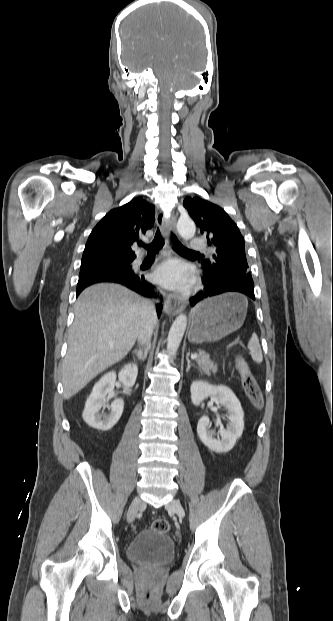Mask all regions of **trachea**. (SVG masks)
Wrapping results in <instances>:
<instances>
[{"mask_svg":"<svg viewBox=\"0 0 333 621\" xmlns=\"http://www.w3.org/2000/svg\"><path fill=\"white\" fill-rule=\"evenodd\" d=\"M163 245H164V238L162 237L160 230L158 228L156 231L154 240L152 241L151 244L146 246L148 254L158 253L160 249L163 247ZM171 245L174 248V250L180 253L200 254L199 252L192 251L186 248L185 246H183L172 232H171ZM139 246H145V245L143 243H140Z\"/></svg>","mask_w":333,"mask_h":621,"instance_id":"1","label":"trachea"}]
</instances>
